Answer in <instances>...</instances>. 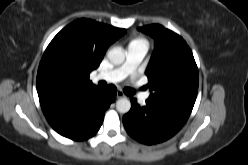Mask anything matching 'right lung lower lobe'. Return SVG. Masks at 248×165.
I'll use <instances>...</instances> for the list:
<instances>
[{
	"label": "right lung lower lobe",
	"mask_w": 248,
	"mask_h": 165,
	"mask_svg": "<svg viewBox=\"0 0 248 165\" xmlns=\"http://www.w3.org/2000/svg\"><path fill=\"white\" fill-rule=\"evenodd\" d=\"M117 88L109 85L76 106L56 115L46 117L52 128L72 140H86L97 133L105 111L115 101Z\"/></svg>",
	"instance_id": "right-lung-lower-lobe-1"
}]
</instances>
